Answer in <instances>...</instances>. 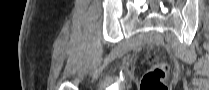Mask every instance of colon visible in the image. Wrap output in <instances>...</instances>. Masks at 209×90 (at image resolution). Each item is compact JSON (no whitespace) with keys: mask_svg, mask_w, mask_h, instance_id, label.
Returning a JSON list of instances; mask_svg holds the SVG:
<instances>
[{"mask_svg":"<svg viewBox=\"0 0 209 90\" xmlns=\"http://www.w3.org/2000/svg\"><path fill=\"white\" fill-rule=\"evenodd\" d=\"M150 69L144 74L140 90H169L167 76L169 67L164 62H156L155 57H149Z\"/></svg>","mask_w":209,"mask_h":90,"instance_id":"colon-1","label":"colon"}]
</instances>
